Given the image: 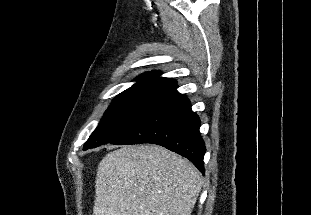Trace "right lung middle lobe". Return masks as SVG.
Instances as JSON below:
<instances>
[{
	"label": "right lung middle lobe",
	"mask_w": 311,
	"mask_h": 215,
	"mask_svg": "<svg viewBox=\"0 0 311 215\" xmlns=\"http://www.w3.org/2000/svg\"><path fill=\"white\" fill-rule=\"evenodd\" d=\"M168 89L169 86H133L120 93L104 113L83 150L123 136L159 103Z\"/></svg>",
	"instance_id": "dd1d6c3e"
}]
</instances>
